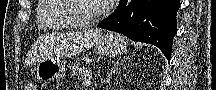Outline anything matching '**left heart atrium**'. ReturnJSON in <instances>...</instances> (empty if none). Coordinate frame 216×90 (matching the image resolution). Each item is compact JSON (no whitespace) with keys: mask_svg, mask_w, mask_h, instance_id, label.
<instances>
[{"mask_svg":"<svg viewBox=\"0 0 216 90\" xmlns=\"http://www.w3.org/2000/svg\"><path fill=\"white\" fill-rule=\"evenodd\" d=\"M120 0H97V3H119Z\"/></svg>","mask_w":216,"mask_h":90,"instance_id":"left-heart-atrium-1","label":"left heart atrium"}]
</instances>
